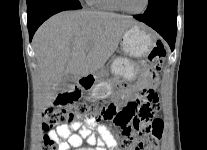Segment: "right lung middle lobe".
<instances>
[{
	"mask_svg": "<svg viewBox=\"0 0 207 150\" xmlns=\"http://www.w3.org/2000/svg\"><path fill=\"white\" fill-rule=\"evenodd\" d=\"M46 1H48V0H27V10L38 7ZM67 1H71V2H74V3L80 4V2L78 0H67Z\"/></svg>",
	"mask_w": 207,
	"mask_h": 150,
	"instance_id": "1",
	"label": "right lung middle lobe"
}]
</instances>
